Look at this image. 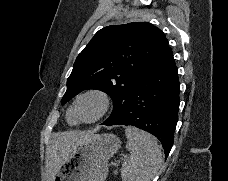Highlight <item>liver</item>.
Returning <instances> with one entry per match:
<instances>
[{
    "label": "liver",
    "mask_w": 228,
    "mask_h": 181,
    "mask_svg": "<svg viewBox=\"0 0 228 181\" xmlns=\"http://www.w3.org/2000/svg\"><path fill=\"white\" fill-rule=\"evenodd\" d=\"M91 137H94L93 131H87V133H55L45 155L48 181H54L55 175L66 163L71 149L75 145L88 143Z\"/></svg>",
    "instance_id": "obj_1"
}]
</instances>
